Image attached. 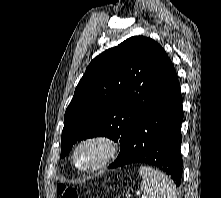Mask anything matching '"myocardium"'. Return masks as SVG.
<instances>
[{"mask_svg":"<svg viewBox=\"0 0 221 198\" xmlns=\"http://www.w3.org/2000/svg\"><path fill=\"white\" fill-rule=\"evenodd\" d=\"M87 145H98L102 149L100 159L91 166H81L77 162V154L79 150ZM117 141L107 134H93L80 139L74 146L71 154L72 163L75 168L84 173H93L105 168L109 165L118 153Z\"/></svg>","mask_w":221,"mask_h":198,"instance_id":"myocardium-1","label":"myocardium"}]
</instances>
